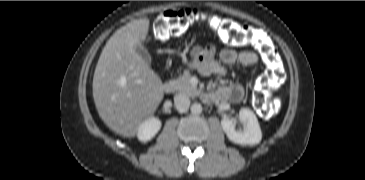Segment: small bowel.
<instances>
[{"label":"small bowel","instance_id":"c3829d8e","mask_svg":"<svg viewBox=\"0 0 365 180\" xmlns=\"http://www.w3.org/2000/svg\"><path fill=\"white\" fill-rule=\"evenodd\" d=\"M257 61L258 58L256 54L250 51L238 52L232 49H223L217 54V50L214 46H196L192 48L190 52L189 65L206 76H224L226 74V69L223 64L251 66L257 63ZM243 94L244 90L241 85L231 84L219 88L215 93V97L220 100L239 102L242 99Z\"/></svg>","mask_w":365,"mask_h":180}]
</instances>
